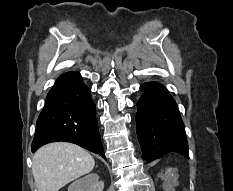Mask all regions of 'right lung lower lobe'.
<instances>
[{"label": "right lung lower lobe", "mask_w": 233, "mask_h": 191, "mask_svg": "<svg viewBox=\"0 0 233 191\" xmlns=\"http://www.w3.org/2000/svg\"><path fill=\"white\" fill-rule=\"evenodd\" d=\"M55 141L77 144L106 159L90 89L77 72L62 74L47 94L31 145L32 152Z\"/></svg>", "instance_id": "obj_1"}]
</instances>
